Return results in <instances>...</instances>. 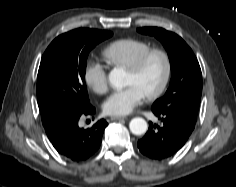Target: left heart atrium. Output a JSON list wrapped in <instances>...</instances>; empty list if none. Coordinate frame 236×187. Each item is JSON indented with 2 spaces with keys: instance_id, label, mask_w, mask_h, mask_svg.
<instances>
[{
  "instance_id": "1",
  "label": "left heart atrium",
  "mask_w": 236,
  "mask_h": 187,
  "mask_svg": "<svg viewBox=\"0 0 236 187\" xmlns=\"http://www.w3.org/2000/svg\"><path fill=\"white\" fill-rule=\"evenodd\" d=\"M144 94L135 85L112 93L104 102L105 113L112 116H125L132 112L143 99Z\"/></svg>"
}]
</instances>
